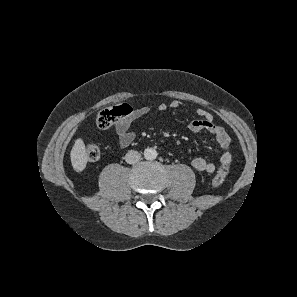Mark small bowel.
<instances>
[{
    "label": "small bowel",
    "instance_id": "1",
    "mask_svg": "<svg viewBox=\"0 0 297 297\" xmlns=\"http://www.w3.org/2000/svg\"><path fill=\"white\" fill-rule=\"evenodd\" d=\"M182 103L179 100H173L168 105L161 103L158 105L159 111H165L167 108L178 109ZM150 109L147 106L135 108L127 117L121 118L114 123V129L118 138V143L121 147H128L135 139V133L131 130L132 123L144 117L149 113ZM198 118L189 122L188 129L191 132L208 131L211 133L219 146L222 153L219 158L221 164H230L232 156L229 152L230 138L223 127L214 122L210 112L203 108H198L196 111ZM192 166L195 170L207 174H212L216 165L213 162L207 161L202 157H196L192 160Z\"/></svg>",
    "mask_w": 297,
    "mask_h": 297
}]
</instances>
